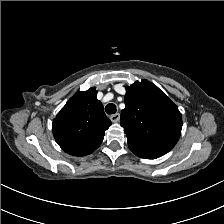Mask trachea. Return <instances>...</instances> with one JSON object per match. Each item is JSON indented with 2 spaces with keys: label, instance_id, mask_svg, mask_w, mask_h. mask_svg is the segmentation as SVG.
<instances>
[{
  "label": "trachea",
  "instance_id": "1",
  "mask_svg": "<svg viewBox=\"0 0 224 224\" xmlns=\"http://www.w3.org/2000/svg\"><path fill=\"white\" fill-rule=\"evenodd\" d=\"M105 111H106V113L109 114V115H113V114H115L116 111H117L116 105L113 104V103H110V104L106 105V107H105Z\"/></svg>",
  "mask_w": 224,
  "mask_h": 224
}]
</instances>
